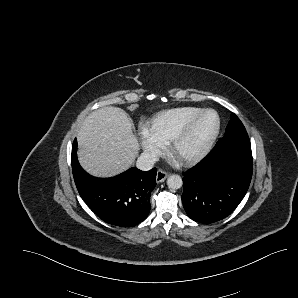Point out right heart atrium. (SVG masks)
<instances>
[{"instance_id": "d8ad5b80", "label": "right heart atrium", "mask_w": 298, "mask_h": 298, "mask_svg": "<svg viewBox=\"0 0 298 298\" xmlns=\"http://www.w3.org/2000/svg\"><path fill=\"white\" fill-rule=\"evenodd\" d=\"M139 136L144 148L153 150L158 156L163 154L164 136L160 131L152 126H145L140 130Z\"/></svg>"}]
</instances>
